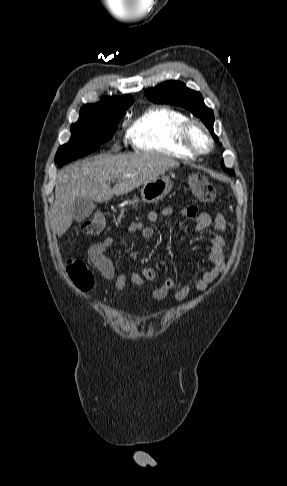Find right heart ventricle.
Wrapping results in <instances>:
<instances>
[{
	"mask_svg": "<svg viewBox=\"0 0 287 486\" xmlns=\"http://www.w3.org/2000/svg\"><path fill=\"white\" fill-rule=\"evenodd\" d=\"M187 116L169 107H153L140 115L128 128L127 138L136 151L181 159L194 158L183 147L179 133Z\"/></svg>",
	"mask_w": 287,
	"mask_h": 486,
	"instance_id": "right-heart-ventricle-1",
	"label": "right heart ventricle"
}]
</instances>
